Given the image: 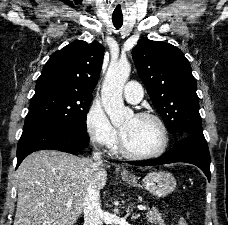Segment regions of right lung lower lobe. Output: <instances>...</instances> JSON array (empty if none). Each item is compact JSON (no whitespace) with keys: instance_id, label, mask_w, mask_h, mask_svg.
<instances>
[{"instance_id":"98d812e1","label":"right lung lower lobe","mask_w":228,"mask_h":225,"mask_svg":"<svg viewBox=\"0 0 228 225\" xmlns=\"http://www.w3.org/2000/svg\"><path fill=\"white\" fill-rule=\"evenodd\" d=\"M89 143L87 132L78 128L52 121L24 124L17 147V166L30 153L52 149L73 153L86 148Z\"/></svg>"}]
</instances>
